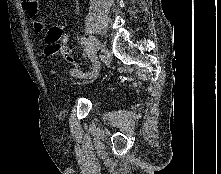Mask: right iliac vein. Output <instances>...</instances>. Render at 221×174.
<instances>
[{
	"mask_svg": "<svg viewBox=\"0 0 221 174\" xmlns=\"http://www.w3.org/2000/svg\"><path fill=\"white\" fill-rule=\"evenodd\" d=\"M101 48V43L94 37L91 36V46L89 49V59H97V51Z\"/></svg>",
	"mask_w": 221,
	"mask_h": 174,
	"instance_id": "1",
	"label": "right iliac vein"
}]
</instances>
